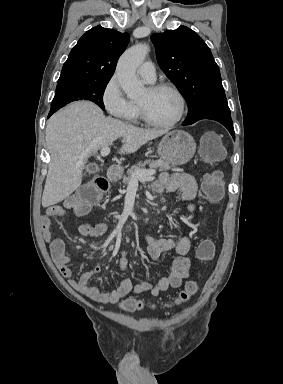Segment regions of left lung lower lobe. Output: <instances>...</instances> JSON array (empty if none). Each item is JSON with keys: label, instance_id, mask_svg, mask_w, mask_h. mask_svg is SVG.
<instances>
[{"label": "left lung lower lobe", "instance_id": "0a47b994", "mask_svg": "<svg viewBox=\"0 0 283 384\" xmlns=\"http://www.w3.org/2000/svg\"><path fill=\"white\" fill-rule=\"evenodd\" d=\"M204 119H212V120L220 122L222 125H224L228 129V131L232 135L233 139H235L233 122H232V119L230 116H210V117H206ZM190 124H193V123H183L182 125L185 126V125H190Z\"/></svg>", "mask_w": 283, "mask_h": 384}]
</instances>
